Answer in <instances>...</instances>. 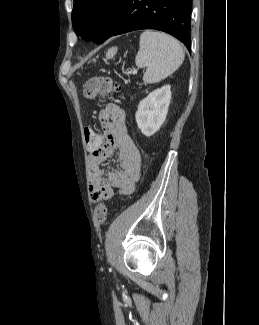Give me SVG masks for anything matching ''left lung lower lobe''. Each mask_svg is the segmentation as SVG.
Here are the masks:
<instances>
[{
  "label": "left lung lower lobe",
  "mask_w": 259,
  "mask_h": 325,
  "mask_svg": "<svg viewBox=\"0 0 259 325\" xmlns=\"http://www.w3.org/2000/svg\"><path fill=\"white\" fill-rule=\"evenodd\" d=\"M191 11L192 0H124L107 39L134 30L157 29L190 49Z\"/></svg>",
  "instance_id": "obj_1"
}]
</instances>
